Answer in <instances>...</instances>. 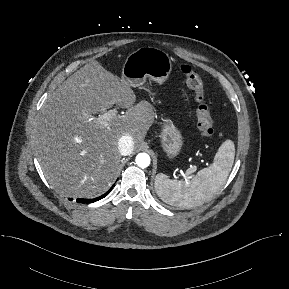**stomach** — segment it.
I'll list each match as a JSON object with an SVG mask.
<instances>
[{
    "mask_svg": "<svg viewBox=\"0 0 289 289\" xmlns=\"http://www.w3.org/2000/svg\"><path fill=\"white\" fill-rule=\"evenodd\" d=\"M172 62L170 56L155 47H141L128 55L122 67L121 78L132 87L143 85L147 78L163 84L171 74ZM161 147L168 158L179 155L183 146L180 130L169 118H163Z\"/></svg>",
    "mask_w": 289,
    "mask_h": 289,
    "instance_id": "1",
    "label": "stomach"
}]
</instances>
